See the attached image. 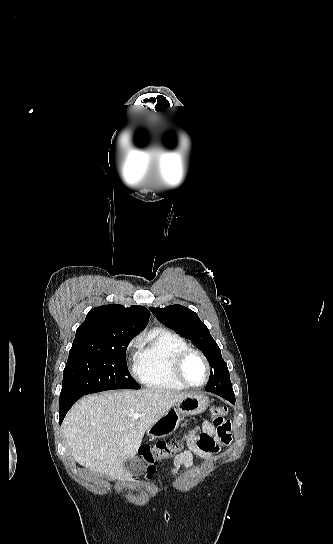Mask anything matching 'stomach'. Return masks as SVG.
Instances as JSON below:
<instances>
[{
	"mask_svg": "<svg viewBox=\"0 0 333 544\" xmlns=\"http://www.w3.org/2000/svg\"><path fill=\"white\" fill-rule=\"evenodd\" d=\"M209 405V398L203 395H188L175 404L164 416L154 423L148 430L147 435L152 439L162 438L173 434L180 421L189 415L204 412Z\"/></svg>",
	"mask_w": 333,
	"mask_h": 544,
	"instance_id": "obj_1",
	"label": "stomach"
}]
</instances>
